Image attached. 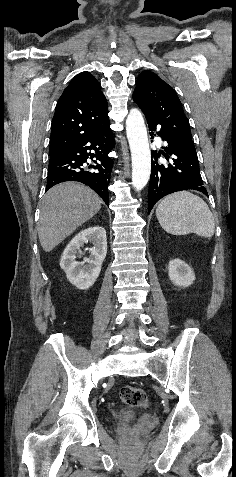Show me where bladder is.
Here are the masks:
<instances>
[{
	"mask_svg": "<svg viewBox=\"0 0 236 477\" xmlns=\"http://www.w3.org/2000/svg\"><path fill=\"white\" fill-rule=\"evenodd\" d=\"M131 415L132 414L128 409H121L114 414L113 419L114 421L127 420L131 418Z\"/></svg>",
	"mask_w": 236,
	"mask_h": 477,
	"instance_id": "1",
	"label": "bladder"
}]
</instances>
